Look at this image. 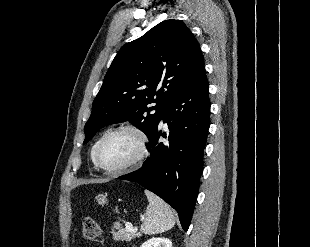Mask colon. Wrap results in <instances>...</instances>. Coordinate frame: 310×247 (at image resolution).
I'll use <instances>...</instances> for the list:
<instances>
[{"mask_svg":"<svg viewBox=\"0 0 310 247\" xmlns=\"http://www.w3.org/2000/svg\"><path fill=\"white\" fill-rule=\"evenodd\" d=\"M101 235V227L91 219L86 218L83 222V238L87 241H94Z\"/></svg>","mask_w":310,"mask_h":247,"instance_id":"colon-1","label":"colon"}]
</instances>
